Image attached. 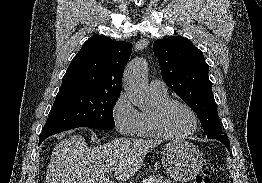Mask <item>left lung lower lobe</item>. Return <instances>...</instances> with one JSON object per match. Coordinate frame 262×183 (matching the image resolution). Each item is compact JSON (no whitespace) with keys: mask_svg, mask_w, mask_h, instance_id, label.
I'll use <instances>...</instances> for the list:
<instances>
[{"mask_svg":"<svg viewBox=\"0 0 262 183\" xmlns=\"http://www.w3.org/2000/svg\"><path fill=\"white\" fill-rule=\"evenodd\" d=\"M217 140L221 141L227 147V149L230 151V143H229L228 138H221V139H217Z\"/></svg>","mask_w":262,"mask_h":183,"instance_id":"obj_1","label":"left lung lower lobe"}]
</instances>
